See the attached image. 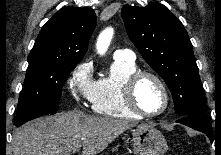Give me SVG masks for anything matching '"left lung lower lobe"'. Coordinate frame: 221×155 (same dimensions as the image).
<instances>
[{"label": "left lung lower lobe", "mask_w": 221, "mask_h": 155, "mask_svg": "<svg viewBox=\"0 0 221 155\" xmlns=\"http://www.w3.org/2000/svg\"><path fill=\"white\" fill-rule=\"evenodd\" d=\"M176 122L205 133L209 137L211 142L213 141L212 127L207 119V116L189 115L182 117Z\"/></svg>", "instance_id": "obj_1"}]
</instances>
